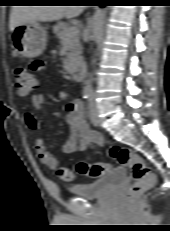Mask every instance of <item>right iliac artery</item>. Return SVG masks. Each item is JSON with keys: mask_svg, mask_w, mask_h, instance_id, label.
I'll return each mask as SVG.
<instances>
[{"mask_svg": "<svg viewBox=\"0 0 170 231\" xmlns=\"http://www.w3.org/2000/svg\"><path fill=\"white\" fill-rule=\"evenodd\" d=\"M89 96H90V89L85 88V89L83 90L82 97H83L84 99H88Z\"/></svg>", "mask_w": 170, "mask_h": 231, "instance_id": "right-iliac-artery-1", "label": "right iliac artery"}]
</instances>
